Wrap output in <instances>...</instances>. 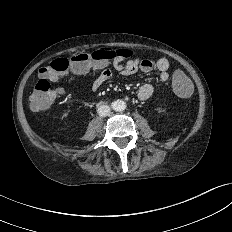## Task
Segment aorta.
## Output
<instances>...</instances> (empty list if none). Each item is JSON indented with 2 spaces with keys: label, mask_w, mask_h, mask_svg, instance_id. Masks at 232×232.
<instances>
[{
  "label": "aorta",
  "mask_w": 232,
  "mask_h": 232,
  "mask_svg": "<svg viewBox=\"0 0 232 232\" xmlns=\"http://www.w3.org/2000/svg\"><path fill=\"white\" fill-rule=\"evenodd\" d=\"M113 109L115 111L121 112L126 109V102L123 100H117L113 103Z\"/></svg>",
  "instance_id": "762f6f07"
}]
</instances>
